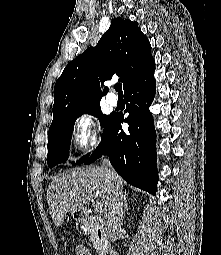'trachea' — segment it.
Here are the masks:
<instances>
[{"instance_id":"trachea-1","label":"trachea","mask_w":221,"mask_h":255,"mask_svg":"<svg viewBox=\"0 0 221 255\" xmlns=\"http://www.w3.org/2000/svg\"><path fill=\"white\" fill-rule=\"evenodd\" d=\"M114 88L118 93H122V84L121 83H117Z\"/></svg>"}]
</instances>
